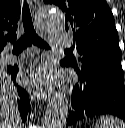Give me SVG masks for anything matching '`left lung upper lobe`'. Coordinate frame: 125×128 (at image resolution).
I'll return each instance as SVG.
<instances>
[{"mask_svg":"<svg viewBox=\"0 0 125 128\" xmlns=\"http://www.w3.org/2000/svg\"><path fill=\"white\" fill-rule=\"evenodd\" d=\"M65 13V29L74 33L79 59H63L85 78L106 70H122V54L111 9L105 0H43Z\"/></svg>","mask_w":125,"mask_h":128,"instance_id":"obj_1","label":"left lung upper lobe"}]
</instances>
